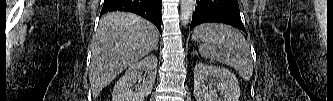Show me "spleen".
I'll list each match as a JSON object with an SVG mask.
<instances>
[{
	"mask_svg": "<svg viewBox=\"0 0 333 101\" xmlns=\"http://www.w3.org/2000/svg\"><path fill=\"white\" fill-rule=\"evenodd\" d=\"M192 39L201 40L200 54L233 67L245 80H250L253 62L249 45L244 36L233 27L223 24L206 23L195 28ZM223 47L222 51H217Z\"/></svg>",
	"mask_w": 333,
	"mask_h": 101,
	"instance_id": "3e777b00",
	"label": "spleen"
}]
</instances>
